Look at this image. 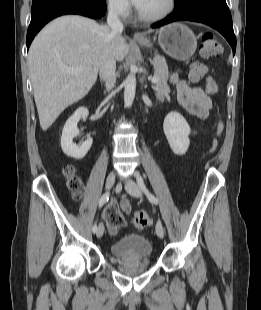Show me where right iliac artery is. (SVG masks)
Segmentation results:
<instances>
[{"mask_svg":"<svg viewBox=\"0 0 261 310\" xmlns=\"http://www.w3.org/2000/svg\"><path fill=\"white\" fill-rule=\"evenodd\" d=\"M109 196H110L109 192H107V193L102 195V197H101V199L99 201V208H101L106 202H108ZM92 232L93 233L97 232V225H96V223H94V225L92 227Z\"/></svg>","mask_w":261,"mask_h":310,"instance_id":"1","label":"right iliac artery"}]
</instances>
